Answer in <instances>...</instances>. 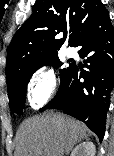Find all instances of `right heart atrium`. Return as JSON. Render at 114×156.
I'll list each match as a JSON object with an SVG mask.
<instances>
[{
    "instance_id": "1",
    "label": "right heart atrium",
    "mask_w": 114,
    "mask_h": 156,
    "mask_svg": "<svg viewBox=\"0 0 114 156\" xmlns=\"http://www.w3.org/2000/svg\"><path fill=\"white\" fill-rule=\"evenodd\" d=\"M58 76L51 67H40L34 71L27 83L29 104L38 109L44 106L56 93Z\"/></svg>"
}]
</instances>
